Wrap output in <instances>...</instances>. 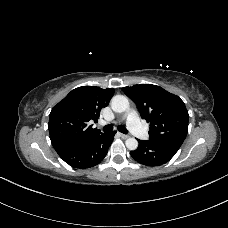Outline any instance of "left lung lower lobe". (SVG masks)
<instances>
[{"mask_svg":"<svg viewBox=\"0 0 228 228\" xmlns=\"http://www.w3.org/2000/svg\"><path fill=\"white\" fill-rule=\"evenodd\" d=\"M139 146L131 156L140 164L159 166L168 162L179 150L180 144L169 141L138 140Z\"/></svg>","mask_w":228,"mask_h":228,"instance_id":"left-lung-lower-lobe-1","label":"left lung lower lobe"}]
</instances>
